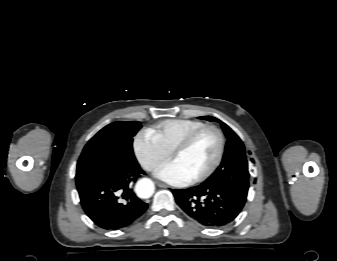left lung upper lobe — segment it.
Wrapping results in <instances>:
<instances>
[{"mask_svg": "<svg viewBox=\"0 0 337 261\" xmlns=\"http://www.w3.org/2000/svg\"><path fill=\"white\" fill-rule=\"evenodd\" d=\"M201 118L219 122L228 139L220 166L202 184L226 187L246 200L250 174L244 144L236 133L222 121L211 116Z\"/></svg>", "mask_w": 337, "mask_h": 261, "instance_id": "left-lung-upper-lobe-1", "label": "left lung upper lobe"}]
</instances>
